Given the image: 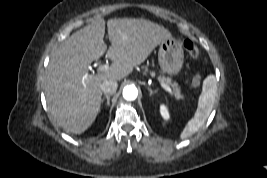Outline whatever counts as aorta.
<instances>
[{"label":"aorta","instance_id":"1","mask_svg":"<svg viewBox=\"0 0 267 178\" xmlns=\"http://www.w3.org/2000/svg\"><path fill=\"white\" fill-rule=\"evenodd\" d=\"M138 96V90L134 85H127L123 89V97L128 101H133Z\"/></svg>","mask_w":267,"mask_h":178}]
</instances>
